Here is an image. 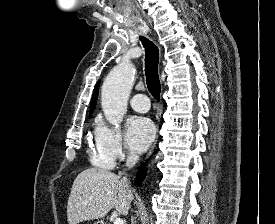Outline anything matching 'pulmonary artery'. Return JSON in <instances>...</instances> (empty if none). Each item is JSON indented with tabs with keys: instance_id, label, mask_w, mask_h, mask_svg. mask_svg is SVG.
<instances>
[{
	"instance_id": "1",
	"label": "pulmonary artery",
	"mask_w": 275,
	"mask_h": 224,
	"mask_svg": "<svg viewBox=\"0 0 275 224\" xmlns=\"http://www.w3.org/2000/svg\"><path fill=\"white\" fill-rule=\"evenodd\" d=\"M132 108L137 112H147L150 107L149 98L144 94H137L130 100Z\"/></svg>"
}]
</instances>
